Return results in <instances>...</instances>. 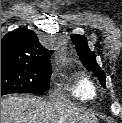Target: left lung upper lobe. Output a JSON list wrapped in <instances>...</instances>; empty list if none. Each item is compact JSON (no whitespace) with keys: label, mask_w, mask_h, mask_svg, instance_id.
<instances>
[{"label":"left lung upper lobe","mask_w":122,"mask_h":123,"mask_svg":"<svg viewBox=\"0 0 122 123\" xmlns=\"http://www.w3.org/2000/svg\"><path fill=\"white\" fill-rule=\"evenodd\" d=\"M72 42L75 45L77 54L79 55V58L83 65L90 71L93 72V74L99 79L101 85L105 88V73L100 69L98 66L95 54L90 51L87 45V40L82 35H71Z\"/></svg>","instance_id":"left-lung-upper-lobe-1"}]
</instances>
